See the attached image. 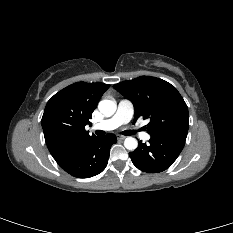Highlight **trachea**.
<instances>
[{
  "mask_svg": "<svg viewBox=\"0 0 233 233\" xmlns=\"http://www.w3.org/2000/svg\"><path fill=\"white\" fill-rule=\"evenodd\" d=\"M96 134L97 135H103L104 132L103 131H96ZM123 134L124 135H133V134H135V131L127 130V131H124Z\"/></svg>",
  "mask_w": 233,
  "mask_h": 233,
  "instance_id": "obj_1",
  "label": "trachea"
}]
</instances>
